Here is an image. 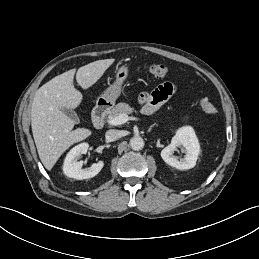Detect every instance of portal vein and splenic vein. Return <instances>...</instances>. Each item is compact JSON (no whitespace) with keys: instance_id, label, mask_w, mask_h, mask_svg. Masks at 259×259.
I'll list each match as a JSON object with an SVG mask.
<instances>
[{"instance_id":"1","label":"portal vein and splenic vein","mask_w":259,"mask_h":259,"mask_svg":"<svg viewBox=\"0 0 259 259\" xmlns=\"http://www.w3.org/2000/svg\"><path fill=\"white\" fill-rule=\"evenodd\" d=\"M138 119L139 118H137V117H132V116L129 117L127 114H120L115 118L109 119L107 121V123H108V125H111V126H117V125H122L129 120H135L136 121Z\"/></svg>"}]
</instances>
